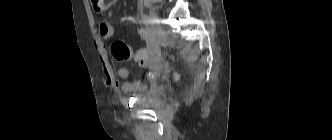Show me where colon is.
Listing matches in <instances>:
<instances>
[{
    "mask_svg": "<svg viewBox=\"0 0 332 140\" xmlns=\"http://www.w3.org/2000/svg\"><path fill=\"white\" fill-rule=\"evenodd\" d=\"M106 0H91L94 9L97 12H102L105 9ZM112 2L113 0H109ZM99 32L103 37H109L114 35V27L112 23L102 18L99 22ZM111 53L114 58L118 60H136L137 51H134L131 47L123 43L122 41H115L111 46ZM178 78V75L175 76Z\"/></svg>",
    "mask_w": 332,
    "mask_h": 140,
    "instance_id": "obj_1",
    "label": "colon"
}]
</instances>
